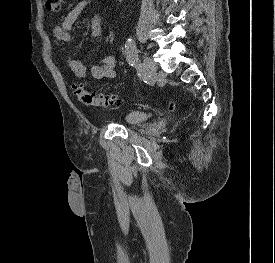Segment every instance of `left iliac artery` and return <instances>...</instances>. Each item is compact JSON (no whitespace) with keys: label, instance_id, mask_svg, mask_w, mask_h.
<instances>
[{"label":"left iliac artery","instance_id":"44dca946","mask_svg":"<svg viewBox=\"0 0 275 263\" xmlns=\"http://www.w3.org/2000/svg\"><path fill=\"white\" fill-rule=\"evenodd\" d=\"M126 48V58L131 66H136L139 63L138 50L135 41L129 38L125 45Z\"/></svg>","mask_w":275,"mask_h":263}]
</instances>
